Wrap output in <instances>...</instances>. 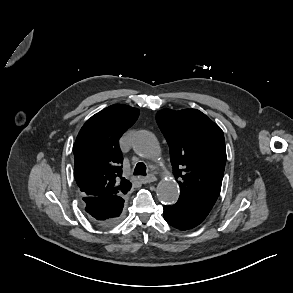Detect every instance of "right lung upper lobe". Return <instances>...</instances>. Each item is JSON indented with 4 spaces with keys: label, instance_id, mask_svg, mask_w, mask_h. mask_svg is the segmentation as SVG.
I'll list each match as a JSON object with an SVG mask.
<instances>
[{
    "label": "right lung upper lobe",
    "instance_id": "cb5924a9",
    "mask_svg": "<svg viewBox=\"0 0 293 293\" xmlns=\"http://www.w3.org/2000/svg\"><path fill=\"white\" fill-rule=\"evenodd\" d=\"M139 110L115 104L92 116L75 144L74 175L83 197L123 196L131 183L122 177L119 139L137 120Z\"/></svg>",
    "mask_w": 293,
    "mask_h": 293
}]
</instances>
